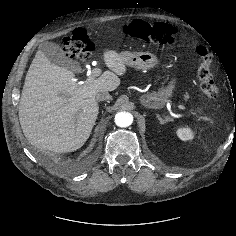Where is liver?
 Returning a JSON list of instances; mask_svg holds the SVG:
<instances>
[{"mask_svg":"<svg viewBox=\"0 0 236 236\" xmlns=\"http://www.w3.org/2000/svg\"><path fill=\"white\" fill-rule=\"evenodd\" d=\"M103 60L109 71L78 84L72 71L37 51L19 103L20 125L31 144L57 153L72 152L84 145L99 113L97 93L115 90L119 76L127 72L121 53L106 49Z\"/></svg>","mask_w":236,"mask_h":236,"instance_id":"6515ba94","label":"liver"}]
</instances>
